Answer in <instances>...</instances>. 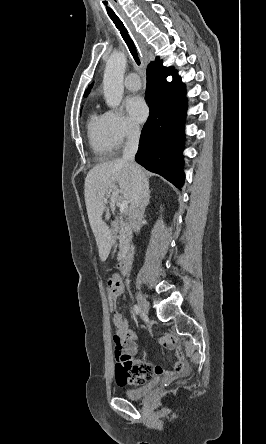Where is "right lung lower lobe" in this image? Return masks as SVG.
<instances>
[{
  "mask_svg": "<svg viewBox=\"0 0 266 444\" xmlns=\"http://www.w3.org/2000/svg\"><path fill=\"white\" fill-rule=\"evenodd\" d=\"M169 75L173 76L172 82L166 80ZM146 99L150 116L143 126L135 160L180 189L184 183L181 170L186 97L180 78L162 61L148 65Z\"/></svg>",
  "mask_w": 266,
  "mask_h": 444,
  "instance_id": "obj_1",
  "label": "right lung lower lobe"
}]
</instances>
